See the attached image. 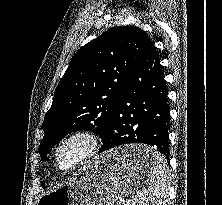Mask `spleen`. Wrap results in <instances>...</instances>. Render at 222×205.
<instances>
[{"label":"spleen","instance_id":"obj_1","mask_svg":"<svg viewBox=\"0 0 222 205\" xmlns=\"http://www.w3.org/2000/svg\"><path fill=\"white\" fill-rule=\"evenodd\" d=\"M146 179L145 196L139 198V205H166L167 202V161L161 154L153 155Z\"/></svg>","mask_w":222,"mask_h":205}]
</instances>
